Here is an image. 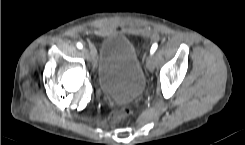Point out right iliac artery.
<instances>
[{
	"label": "right iliac artery",
	"mask_w": 245,
	"mask_h": 145,
	"mask_svg": "<svg viewBox=\"0 0 245 145\" xmlns=\"http://www.w3.org/2000/svg\"><path fill=\"white\" fill-rule=\"evenodd\" d=\"M77 47H78L79 49H82L83 45H82L81 43H77Z\"/></svg>",
	"instance_id": "1"
}]
</instances>
